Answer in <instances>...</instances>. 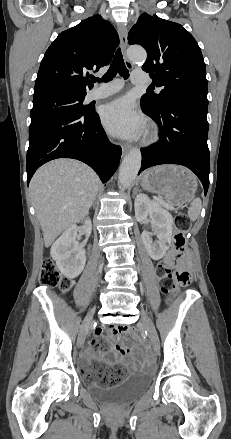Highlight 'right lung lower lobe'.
<instances>
[{"mask_svg": "<svg viewBox=\"0 0 231 439\" xmlns=\"http://www.w3.org/2000/svg\"><path fill=\"white\" fill-rule=\"evenodd\" d=\"M26 157L27 183L44 163L74 158L91 166L107 182L116 171L122 149L109 142L94 107L30 124Z\"/></svg>", "mask_w": 231, "mask_h": 439, "instance_id": "obj_1", "label": "right lung lower lobe"}]
</instances>
